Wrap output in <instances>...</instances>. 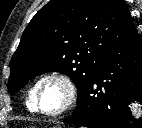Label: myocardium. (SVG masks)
<instances>
[{"label": "myocardium", "mask_w": 142, "mask_h": 128, "mask_svg": "<svg viewBox=\"0 0 142 128\" xmlns=\"http://www.w3.org/2000/svg\"><path fill=\"white\" fill-rule=\"evenodd\" d=\"M52 80L57 81L61 85H63L66 92V98L63 105L58 110L50 112V111H45L40 107L39 96L43 84L46 83L47 81H52ZM76 99H77L76 84L73 81V79L66 73L55 71L47 73L39 78L34 94V105L36 112L47 117H57L69 111L75 104Z\"/></svg>", "instance_id": "f54148a6"}]
</instances>
